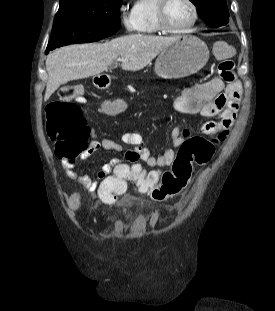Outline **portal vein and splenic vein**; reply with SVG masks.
<instances>
[{
    "instance_id": "1",
    "label": "portal vein and splenic vein",
    "mask_w": 275,
    "mask_h": 311,
    "mask_svg": "<svg viewBox=\"0 0 275 311\" xmlns=\"http://www.w3.org/2000/svg\"><path fill=\"white\" fill-rule=\"evenodd\" d=\"M124 60V58H117V62H119V61H123Z\"/></svg>"
}]
</instances>
